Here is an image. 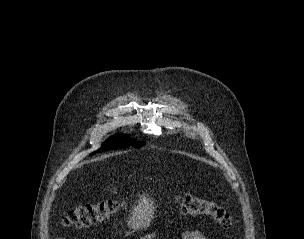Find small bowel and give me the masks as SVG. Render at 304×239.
<instances>
[{
    "label": "small bowel",
    "mask_w": 304,
    "mask_h": 239,
    "mask_svg": "<svg viewBox=\"0 0 304 239\" xmlns=\"http://www.w3.org/2000/svg\"><path fill=\"white\" fill-rule=\"evenodd\" d=\"M153 234H147L141 239H149ZM57 239H67V238H57ZM80 239V238H76ZM181 239H207V237L199 230L195 229H186L181 233Z\"/></svg>",
    "instance_id": "obj_1"
}]
</instances>
